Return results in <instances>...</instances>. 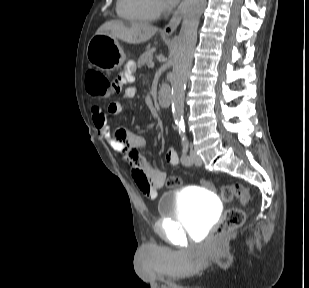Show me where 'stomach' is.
I'll return each instance as SVG.
<instances>
[{
  "mask_svg": "<svg viewBox=\"0 0 309 288\" xmlns=\"http://www.w3.org/2000/svg\"><path fill=\"white\" fill-rule=\"evenodd\" d=\"M86 55L90 64L102 71L117 69L126 60L118 40L105 34H95L89 40Z\"/></svg>",
  "mask_w": 309,
  "mask_h": 288,
  "instance_id": "stomach-1",
  "label": "stomach"
}]
</instances>
